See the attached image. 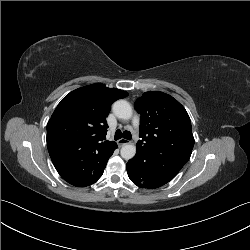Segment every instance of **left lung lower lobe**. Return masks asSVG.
Listing matches in <instances>:
<instances>
[{
	"mask_svg": "<svg viewBox=\"0 0 250 250\" xmlns=\"http://www.w3.org/2000/svg\"><path fill=\"white\" fill-rule=\"evenodd\" d=\"M130 180L140 188H158L171 181L180 169L167 164L154 163L142 151L137 150L136 155L126 165Z\"/></svg>",
	"mask_w": 250,
	"mask_h": 250,
	"instance_id": "obj_1",
	"label": "left lung lower lobe"
}]
</instances>
